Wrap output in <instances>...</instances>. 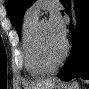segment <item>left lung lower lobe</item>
I'll return each mask as SVG.
<instances>
[{
    "label": "left lung lower lobe",
    "mask_w": 89,
    "mask_h": 89,
    "mask_svg": "<svg viewBox=\"0 0 89 89\" xmlns=\"http://www.w3.org/2000/svg\"><path fill=\"white\" fill-rule=\"evenodd\" d=\"M70 6L68 0V7ZM77 13V33L73 37L71 53L57 76L64 81L75 77L89 79V0H75ZM65 12L70 14V8Z\"/></svg>",
    "instance_id": "obj_1"
}]
</instances>
